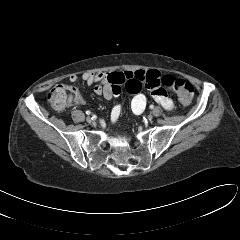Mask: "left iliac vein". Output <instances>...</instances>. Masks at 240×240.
Instances as JSON below:
<instances>
[{"label": "left iliac vein", "instance_id": "1", "mask_svg": "<svg viewBox=\"0 0 240 240\" xmlns=\"http://www.w3.org/2000/svg\"><path fill=\"white\" fill-rule=\"evenodd\" d=\"M147 119H148V120H152V119H153V116H152V115H148Z\"/></svg>", "mask_w": 240, "mask_h": 240}]
</instances>
